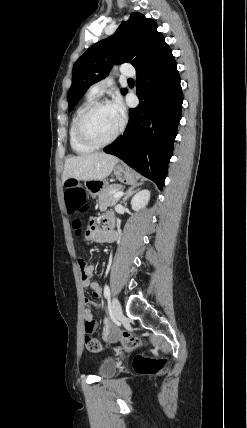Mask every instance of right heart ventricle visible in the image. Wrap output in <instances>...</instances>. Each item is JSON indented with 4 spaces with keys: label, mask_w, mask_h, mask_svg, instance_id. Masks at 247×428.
Segmentation results:
<instances>
[{
    "label": "right heart ventricle",
    "mask_w": 247,
    "mask_h": 428,
    "mask_svg": "<svg viewBox=\"0 0 247 428\" xmlns=\"http://www.w3.org/2000/svg\"><path fill=\"white\" fill-rule=\"evenodd\" d=\"M97 95L91 93L90 91L86 94L83 101L75 109L69 127V142L72 150L77 154H88L93 152L96 148L90 147L80 141L76 132V124L80 114L83 110L95 101Z\"/></svg>",
    "instance_id": "right-heart-ventricle-1"
}]
</instances>
